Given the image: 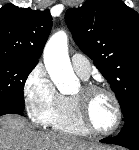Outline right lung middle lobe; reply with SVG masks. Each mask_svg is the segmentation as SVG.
<instances>
[{
	"instance_id": "1",
	"label": "right lung middle lobe",
	"mask_w": 139,
	"mask_h": 150,
	"mask_svg": "<svg viewBox=\"0 0 139 150\" xmlns=\"http://www.w3.org/2000/svg\"><path fill=\"white\" fill-rule=\"evenodd\" d=\"M36 65L31 61L0 56V104L24 110V83Z\"/></svg>"
}]
</instances>
